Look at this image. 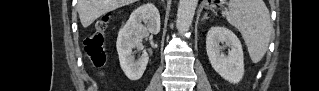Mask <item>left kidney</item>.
<instances>
[{
  "label": "left kidney",
  "instance_id": "left-kidney-1",
  "mask_svg": "<svg viewBox=\"0 0 319 91\" xmlns=\"http://www.w3.org/2000/svg\"><path fill=\"white\" fill-rule=\"evenodd\" d=\"M220 44H224L221 46ZM228 47V54L223 48ZM206 50L214 70L230 83H238L244 75L243 49L238 37L228 28L211 27L206 36Z\"/></svg>",
  "mask_w": 319,
  "mask_h": 91
}]
</instances>
